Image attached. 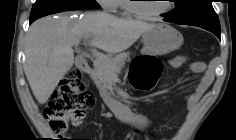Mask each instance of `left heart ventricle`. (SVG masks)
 <instances>
[{
    "mask_svg": "<svg viewBox=\"0 0 236 140\" xmlns=\"http://www.w3.org/2000/svg\"><path fill=\"white\" fill-rule=\"evenodd\" d=\"M168 3L162 0H144L138 6L141 10L148 13H154L164 10Z\"/></svg>",
    "mask_w": 236,
    "mask_h": 140,
    "instance_id": "1",
    "label": "left heart ventricle"
}]
</instances>
